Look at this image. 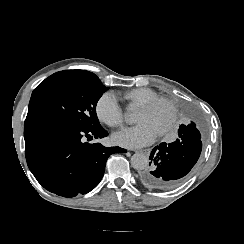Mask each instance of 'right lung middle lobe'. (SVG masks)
I'll use <instances>...</instances> for the list:
<instances>
[{
	"instance_id": "1",
	"label": "right lung middle lobe",
	"mask_w": 244,
	"mask_h": 244,
	"mask_svg": "<svg viewBox=\"0 0 244 244\" xmlns=\"http://www.w3.org/2000/svg\"><path fill=\"white\" fill-rule=\"evenodd\" d=\"M107 89L92 72H57L34 89L27 117H47L86 130L99 127L96 105Z\"/></svg>"
}]
</instances>
